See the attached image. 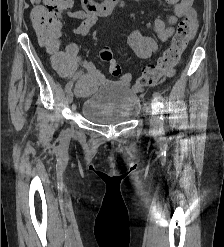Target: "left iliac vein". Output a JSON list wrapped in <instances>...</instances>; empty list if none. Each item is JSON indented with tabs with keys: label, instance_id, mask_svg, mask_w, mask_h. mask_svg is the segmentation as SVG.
<instances>
[{
	"label": "left iliac vein",
	"instance_id": "obj_1",
	"mask_svg": "<svg viewBox=\"0 0 224 247\" xmlns=\"http://www.w3.org/2000/svg\"><path fill=\"white\" fill-rule=\"evenodd\" d=\"M158 114H159L158 102L154 99L152 101V116L150 119V127L153 131H157L160 127Z\"/></svg>",
	"mask_w": 224,
	"mask_h": 247
}]
</instances>
